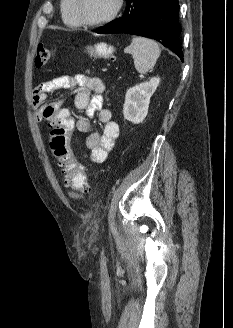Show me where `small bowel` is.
I'll list each match as a JSON object with an SVG mask.
<instances>
[{"label":"small bowel","instance_id":"c3829d8e","mask_svg":"<svg viewBox=\"0 0 233 328\" xmlns=\"http://www.w3.org/2000/svg\"><path fill=\"white\" fill-rule=\"evenodd\" d=\"M59 89L71 90L74 94L75 107L85 111L87 118L78 119L75 127L79 132L86 134L85 145L91 161L104 162L115 145L120 129L113 121L111 111L103 106V81L100 78L78 74L75 77L66 75L42 83L33 93V105L38 119L49 122L53 114L59 110V103H45L47 95ZM94 115H97L103 124L101 134L93 130L89 121ZM70 195L75 198L81 196L77 191H71Z\"/></svg>","mask_w":233,"mask_h":328}]
</instances>
